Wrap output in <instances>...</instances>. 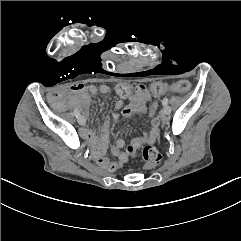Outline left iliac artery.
I'll return each mask as SVG.
<instances>
[{"label":"left iliac artery","mask_w":241,"mask_h":241,"mask_svg":"<svg viewBox=\"0 0 241 241\" xmlns=\"http://www.w3.org/2000/svg\"><path fill=\"white\" fill-rule=\"evenodd\" d=\"M162 104L165 106L168 104V99L167 98H164L163 101H162Z\"/></svg>","instance_id":"44dca946"}]
</instances>
